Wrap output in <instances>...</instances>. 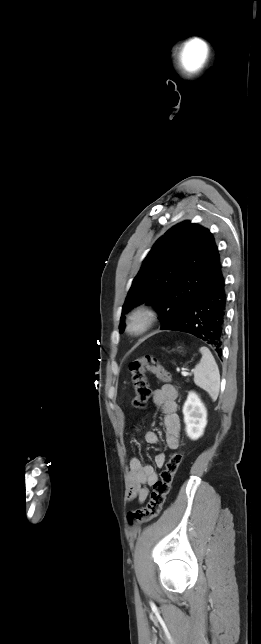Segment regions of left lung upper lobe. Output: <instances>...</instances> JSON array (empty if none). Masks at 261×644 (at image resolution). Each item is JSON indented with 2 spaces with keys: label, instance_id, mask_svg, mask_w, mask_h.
<instances>
[{
  "label": "left lung upper lobe",
  "instance_id": "1",
  "mask_svg": "<svg viewBox=\"0 0 261 644\" xmlns=\"http://www.w3.org/2000/svg\"><path fill=\"white\" fill-rule=\"evenodd\" d=\"M221 266L210 231L184 221L165 233L153 246L134 278L121 317L135 305L147 302L160 313L161 329L176 321L207 286Z\"/></svg>",
  "mask_w": 261,
  "mask_h": 644
}]
</instances>
